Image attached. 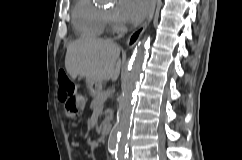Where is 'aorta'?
Segmentation results:
<instances>
[{
	"instance_id": "obj_1",
	"label": "aorta",
	"mask_w": 242,
	"mask_h": 160,
	"mask_svg": "<svg viewBox=\"0 0 242 160\" xmlns=\"http://www.w3.org/2000/svg\"><path fill=\"white\" fill-rule=\"evenodd\" d=\"M147 53L148 43L143 39L136 48L130 68L122 80V95L119 102L120 112L108 139V149L115 153L116 160H126L128 156L127 145L132 118L133 93L141 78Z\"/></svg>"
}]
</instances>
